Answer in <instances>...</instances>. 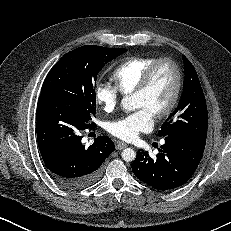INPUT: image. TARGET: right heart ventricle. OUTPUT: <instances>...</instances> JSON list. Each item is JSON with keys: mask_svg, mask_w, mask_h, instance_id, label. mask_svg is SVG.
Instances as JSON below:
<instances>
[{"mask_svg": "<svg viewBox=\"0 0 231 231\" xmlns=\"http://www.w3.org/2000/svg\"><path fill=\"white\" fill-rule=\"evenodd\" d=\"M155 60V57H133L120 64L112 74L119 92L124 95L133 93L144 72Z\"/></svg>", "mask_w": 231, "mask_h": 231, "instance_id": "obj_1", "label": "right heart ventricle"}]
</instances>
